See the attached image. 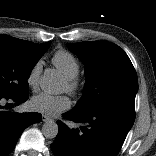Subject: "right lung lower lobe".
I'll list each match as a JSON object with an SVG mask.
<instances>
[{"label":"right lung lower lobe","mask_w":156,"mask_h":156,"mask_svg":"<svg viewBox=\"0 0 156 156\" xmlns=\"http://www.w3.org/2000/svg\"><path fill=\"white\" fill-rule=\"evenodd\" d=\"M28 95L15 97L0 93V156H8L22 132L31 124L41 121L40 113H16L8 111L13 104L19 105ZM8 101L6 105L4 103Z\"/></svg>","instance_id":"98d812e1"}]
</instances>
